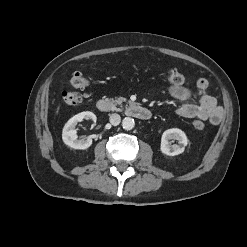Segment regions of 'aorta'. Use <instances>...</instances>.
Segmentation results:
<instances>
[{
  "mask_svg": "<svg viewBox=\"0 0 247 247\" xmlns=\"http://www.w3.org/2000/svg\"><path fill=\"white\" fill-rule=\"evenodd\" d=\"M135 122L131 117H125L122 121V127L125 130H131L134 128Z\"/></svg>",
  "mask_w": 247,
  "mask_h": 247,
  "instance_id": "obj_1",
  "label": "aorta"
}]
</instances>
